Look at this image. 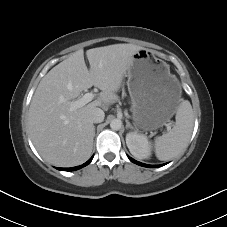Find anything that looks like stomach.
<instances>
[{
    "instance_id": "1",
    "label": "stomach",
    "mask_w": 227,
    "mask_h": 227,
    "mask_svg": "<svg viewBox=\"0 0 227 227\" xmlns=\"http://www.w3.org/2000/svg\"><path fill=\"white\" fill-rule=\"evenodd\" d=\"M127 76L135 126L151 131L169 122L181 100L180 83L169 65L143 48L133 54Z\"/></svg>"
}]
</instances>
